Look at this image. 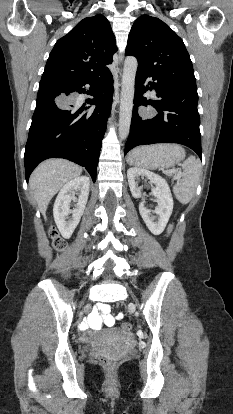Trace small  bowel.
Returning <instances> with one entry per match:
<instances>
[{"label": "small bowel", "mask_w": 233, "mask_h": 414, "mask_svg": "<svg viewBox=\"0 0 233 414\" xmlns=\"http://www.w3.org/2000/svg\"><path fill=\"white\" fill-rule=\"evenodd\" d=\"M122 316L119 314L114 317L110 314V305L103 301H96L95 307L90 313L86 322L81 323L82 329L91 328L99 330L103 326L112 327L115 324L116 319H120Z\"/></svg>", "instance_id": "obj_1"}]
</instances>
